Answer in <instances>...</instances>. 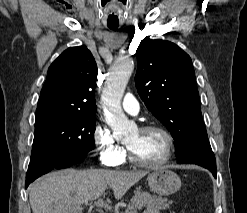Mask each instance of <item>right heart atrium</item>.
<instances>
[{"label": "right heart atrium", "mask_w": 247, "mask_h": 213, "mask_svg": "<svg viewBox=\"0 0 247 213\" xmlns=\"http://www.w3.org/2000/svg\"><path fill=\"white\" fill-rule=\"evenodd\" d=\"M93 144L100 162L107 167H115L125 160V149L113 137L108 127L97 124L93 130Z\"/></svg>", "instance_id": "obj_1"}]
</instances>
